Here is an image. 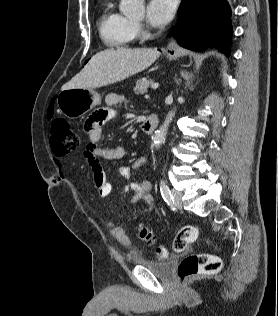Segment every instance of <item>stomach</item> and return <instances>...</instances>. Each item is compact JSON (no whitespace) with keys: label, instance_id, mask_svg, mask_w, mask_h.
<instances>
[{"label":"stomach","instance_id":"0dacf381","mask_svg":"<svg viewBox=\"0 0 278 316\" xmlns=\"http://www.w3.org/2000/svg\"><path fill=\"white\" fill-rule=\"evenodd\" d=\"M167 57L173 60L177 58V54L168 55ZM100 103L101 97L93 89H65L59 93L57 98L60 112L70 119L81 117Z\"/></svg>","mask_w":278,"mask_h":316}]
</instances>
